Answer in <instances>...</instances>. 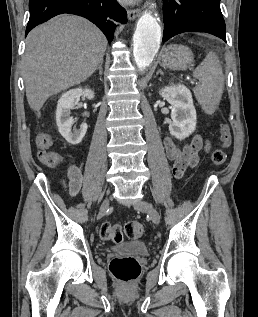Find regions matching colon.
<instances>
[{
    "label": "colon",
    "mask_w": 258,
    "mask_h": 317,
    "mask_svg": "<svg viewBox=\"0 0 258 317\" xmlns=\"http://www.w3.org/2000/svg\"><path fill=\"white\" fill-rule=\"evenodd\" d=\"M221 146L215 149L211 155L213 165H222L227 158L225 149L231 144L232 136L228 124L223 123L219 129ZM38 158L41 163L47 166H56L61 161V156L51 150H40ZM145 228L140 222L131 221L125 225L105 222L100 227V237L107 242L120 243L124 237L139 239L144 235ZM112 276L122 284L134 282L140 275L141 267L139 262L132 257H114L109 264Z\"/></svg>",
    "instance_id": "obj_1"
}]
</instances>
